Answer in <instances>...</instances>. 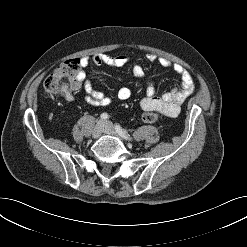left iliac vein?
Returning a JSON list of instances; mask_svg holds the SVG:
<instances>
[{
  "label": "left iliac vein",
  "mask_w": 247,
  "mask_h": 247,
  "mask_svg": "<svg viewBox=\"0 0 247 247\" xmlns=\"http://www.w3.org/2000/svg\"><path fill=\"white\" fill-rule=\"evenodd\" d=\"M103 124H104V128H103L104 133L110 134V135H117V132L115 131L110 121H105Z\"/></svg>",
  "instance_id": "obj_1"
}]
</instances>
